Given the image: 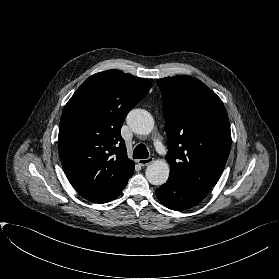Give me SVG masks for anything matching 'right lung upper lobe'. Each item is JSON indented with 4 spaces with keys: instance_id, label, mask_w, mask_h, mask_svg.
<instances>
[{
    "instance_id": "1",
    "label": "right lung upper lobe",
    "mask_w": 279,
    "mask_h": 279,
    "mask_svg": "<svg viewBox=\"0 0 279 279\" xmlns=\"http://www.w3.org/2000/svg\"><path fill=\"white\" fill-rule=\"evenodd\" d=\"M152 83L116 70L90 76L62 113L58 148L74 189L93 203L120 194L134 171L120 130L128 112Z\"/></svg>"
}]
</instances>
